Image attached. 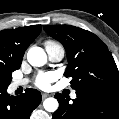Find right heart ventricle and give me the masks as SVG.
I'll return each mask as SVG.
<instances>
[{"mask_svg": "<svg viewBox=\"0 0 119 119\" xmlns=\"http://www.w3.org/2000/svg\"><path fill=\"white\" fill-rule=\"evenodd\" d=\"M48 44H56V43L49 40V41H46L45 45H48Z\"/></svg>", "mask_w": 119, "mask_h": 119, "instance_id": "obj_1", "label": "right heart ventricle"}]
</instances>
